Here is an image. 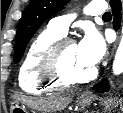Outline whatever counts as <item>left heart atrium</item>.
<instances>
[{"instance_id": "left-heart-atrium-1", "label": "left heart atrium", "mask_w": 123, "mask_h": 113, "mask_svg": "<svg viewBox=\"0 0 123 113\" xmlns=\"http://www.w3.org/2000/svg\"><path fill=\"white\" fill-rule=\"evenodd\" d=\"M78 55L82 62L89 67L95 66L106 52V43L94 29L87 30L77 45Z\"/></svg>"}]
</instances>
